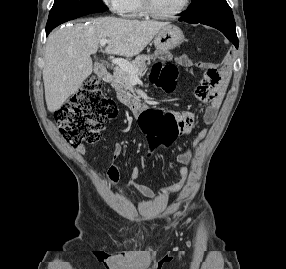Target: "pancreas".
Wrapping results in <instances>:
<instances>
[{
    "label": "pancreas",
    "mask_w": 286,
    "mask_h": 269,
    "mask_svg": "<svg viewBox=\"0 0 286 269\" xmlns=\"http://www.w3.org/2000/svg\"><path fill=\"white\" fill-rule=\"evenodd\" d=\"M151 59H153V56L140 55L131 61L130 64L136 69L137 75L140 76L147 71V66L150 64ZM131 80V75L128 72L123 71L119 67L114 69L112 86L117 92V98L123 103H127L135 96Z\"/></svg>",
    "instance_id": "obj_1"
}]
</instances>
